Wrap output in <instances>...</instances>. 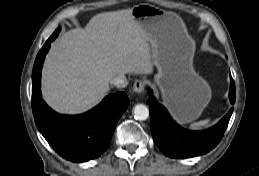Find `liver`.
<instances>
[{
  "mask_svg": "<svg viewBox=\"0 0 259 176\" xmlns=\"http://www.w3.org/2000/svg\"><path fill=\"white\" fill-rule=\"evenodd\" d=\"M153 66L151 44L132 9L99 13L52 44L42 70V96L56 111L82 113L108 94L112 78L150 74Z\"/></svg>",
  "mask_w": 259,
  "mask_h": 176,
  "instance_id": "liver-1",
  "label": "liver"
}]
</instances>
